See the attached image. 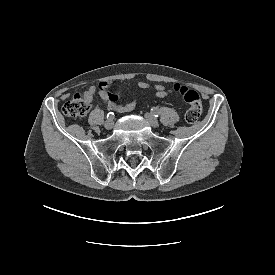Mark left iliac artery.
Instances as JSON below:
<instances>
[{"label":"left iliac artery","instance_id":"44dca946","mask_svg":"<svg viewBox=\"0 0 275 275\" xmlns=\"http://www.w3.org/2000/svg\"><path fill=\"white\" fill-rule=\"evenodd\" d=\"M151 112H152V114H153L155 117H158V116H159V110H158L157 107H153V108L151 109Z\"/></svg>","mask_w":275,"mask_h":275}]
</instances>
